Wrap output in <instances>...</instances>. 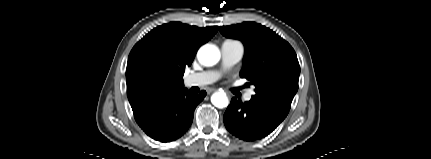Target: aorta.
Wrapping results in <instances>:
<instances>
[{
    "label": "aorta",
    "mask_w": 431,
    "mask_h": 159,
    "mask_svg": "<svg viewBox=\"0 0 431 159\" xmlns=\"http://www.w3.org/2000/svg\"><path fill=\"white\" fill-rule=\"evenodd\" d=\"M198 60L205 66H213L220 60V52L213 45H204L198 51ZM212 104L217 108L228 106V98L224 92H216L211 97Z\"/></svg>",
    "instance_id": "1"
}]
</instances>
